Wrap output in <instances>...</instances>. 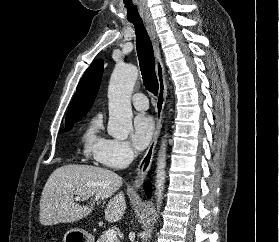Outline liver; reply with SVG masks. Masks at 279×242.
Listing matches in <instances>:
<instances>
[{
    "mask_svg": "<svg viewBox=\"0 0 279 242\" xmlns=\"http://www.w3.org/2000/svg\"><path fill=\"white\" fill-rule=\"evenodd\" d=\"M122 178L115 172L90 165H64L48 178L40 199V223L45 226L71 223L87 216L95 203L110 198L105 219L117 222L126 210L125 195L119 192ZM74 196L91 199L87 205L74 202Z\"/></svg>",
    "mask_w": 279,
    "mask_h": 242,
    "instance_id": "1",
    "label": "liver"
}]
</instances>
